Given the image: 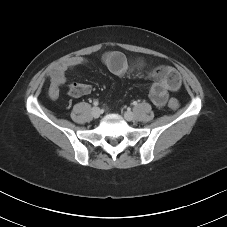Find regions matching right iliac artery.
Instances as JSON below:
<instances>
[{
    "mask_svg": "<svg viewBox=\"0 0 227 227\" xmlns=\"http://www.w3.org/2000/svg\"><path fill=\"white\" fill-rule=\"evenodd\" d=\"M98 104H99L98 101H95V102L93 103L94 106H98Z\"/></svg>",
    "mask_w": 227,
    "mask_h": 227,
    "instance_id": "right-iliac-artery-1",
    "label": "right iliac artery"
}]
</instances>
